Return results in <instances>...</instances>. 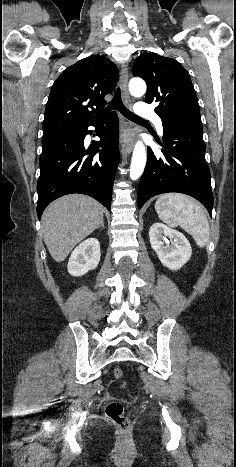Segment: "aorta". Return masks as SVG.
<instances>
[{"instance_id":"1","label":"aorta","mask_w":236,"mask_h":467,"mask_svg":"<svg viewBox=\"0 0 236 467\" xmlns=\"http://www.w3.org/2000/svg\"><path fill=\"white\" fill-rule=\"evenodd\" d=\"M129 91L131 95L140 97L146 92V83L141 78H133L129 81ZM147 155L146 148L142 141L135 144L131 165H130V178L137 180L143 173L146 165Z\"/></svg>"}]
</instances>
